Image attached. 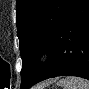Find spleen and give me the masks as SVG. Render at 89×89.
<instances>
[{"mask_svg": "<svg viewBox=\"0 0 89 89\" xmlns=\"http://www.w3.org/2000/svg\"><path fill=\"white\" fill-rule=\"evenodd\" d=\"M62 89H89V82L80 77L69 76L59 81Z\"/></svg>", "mask_w": 89, "mask_h": 89, "instance_id": "spleen-1", "label": "spleen"}]
</instances>
